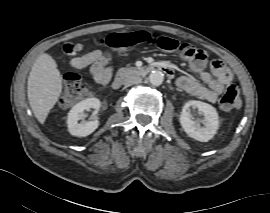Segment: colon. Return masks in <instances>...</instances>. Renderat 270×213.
<instances>
[{"instance_id":"colon-1","label":"colon","mask_w":270,"mask_h":213,"mask_svg":"<svg viewBox=\"0 0 270 213\" xmlns=\"http://www.w3.org/2000/svg\"><path fill=\"white\" fill-rule=\"evenodd\" d=\"M143 44L156 45L158 48L165 51L180 48L185 56L194 57L196 60L204 61L207 57L204 51L193 49L189 43L179 44L174 39L151 35L143 31L135 33H114L106 41H103L101 46L105 49L106 55L109 56L111 53L131 50ZM213 67L219 77L224 78L228 76L229 70L225 64L221 63ZM88 92L89 88L85 82H83L78 75L71 74L65 78L60 102L62 105L72 106L84 100ZM240 106V89L236 84L230 83L226 86L221 97L220 107L223 111H230L238 109Z\"/></svg>"}]
</instances>
